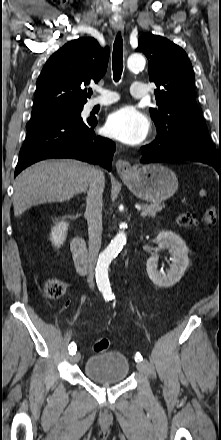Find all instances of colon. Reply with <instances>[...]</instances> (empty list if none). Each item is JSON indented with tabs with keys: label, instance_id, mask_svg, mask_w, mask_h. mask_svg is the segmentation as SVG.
<instances>
[{
	"label": "colon",
	"instance_id": "1",
	"mask_svg": "<svg viewBox=\"0 0 221 440\" xmlns=\"http://www.w3.org/2000/svg\"><path fill=\"white\" fill-rule=\"evenodd\" d=\"M216 215L213 209L206 210L201 217L195 212H184L177 216V223L181 227H194L199 224L212 225L215 222ZM65 291V285L59 279H49L45 284V294L49 298H57ZM111 341L109 338H100L95 341L93 350L96 353H102L109 349Z\"/></svg>",
	"mask_w": 221,
	"mask_h": 440
}]
</instances>
